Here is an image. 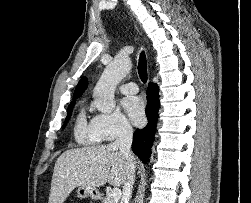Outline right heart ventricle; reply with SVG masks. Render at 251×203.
Instances as JSON below:
<instances>
[{"label":"right heart ventricle","instance_id":"1","mask_svg":"<svg viewBox=\"0 0 251 203\" xmlns=\"http://www.w3.org/2000/svg\"><path fill=\"white\" fill-rule=\"evenodd\" d=\"M74 139L80 145H96L101 139L88 123L84 111H81L74 125Z\"/></svg>","mask_w":251,"mask_h":203}]
</instances>
